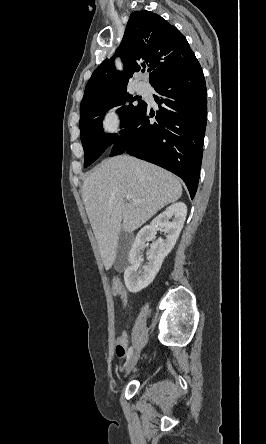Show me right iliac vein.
I'll use <instances>...</instances> for the list:
<instances>
[{"label":"right iliac vein","mask_w":266,"mask_h":444,"mask_svg":"<svg viewBox=\"0 0 266 444\" xmlns=\"http://www.w3.org/2000/svg\"><path fill=\"white\" fill-rule=\"evenodd\" d=\"M139 356H140V349L138 348L132 353V355L126 365V374H129L133 370L134 366L136 365V363L139 359Z\"/></svg>","instance_id":"obj_1"}]
</instances>
